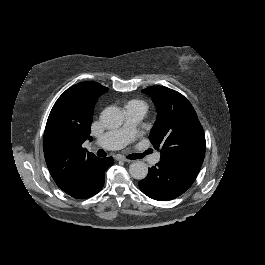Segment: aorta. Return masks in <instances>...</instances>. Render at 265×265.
Here are the masks:
<instances>
[{
	"label": "aorta",
	"mask_w": 265,
	"mask_h": 265,
	"mask_svg": "<svg viewBox=\"0 0 265 265\" xmlns=\"http://www.w3.org/2000/svg\"><path fill=\"white\" fill-rule=\"evenodd\" d=\"M100 120L106 128L115 129L123 124L124 114L118 107L110 106L102 111ZM129 173L133 178L142 180L148 174V166L143 161H134L129 166Z\"/></svg>",
	"instance_id": "1"
}]
</instances>
